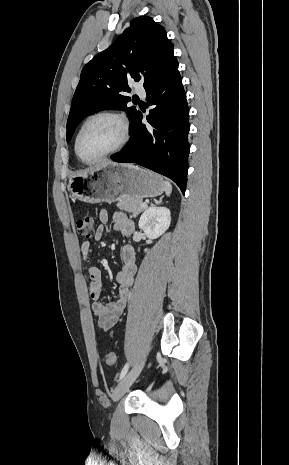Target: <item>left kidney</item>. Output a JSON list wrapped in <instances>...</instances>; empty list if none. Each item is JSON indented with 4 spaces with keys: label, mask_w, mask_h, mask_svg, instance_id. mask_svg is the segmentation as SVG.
Listing matches in <instances>:
<instances>
[{
    "label": "left kidney",
    "mask_w": 289,
    "mask_h": 465,
    "mask_svg": "<svg viewBox=\"0 0 289 465\" xmlns=\"http://www.w3.org/2000/svg\"><path fill=\"white\" fill-rule=\"evenodd\" d=\"M171 212L166 207L152 206L146 209L140 217L139 228L148 238H158L170 226ZM148 250L145 249V252Z\"/></svg>",
    "instance_id": "5707ae66"
}]
</instances>
